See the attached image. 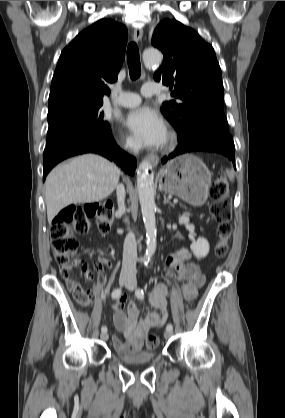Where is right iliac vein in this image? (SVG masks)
<instances>
[{
  "label": "right iliac vein",
  "instance_id": "obj_1",
  "mask_svg": "<svg viewBox=\"0 0 285 418\" xmlns=\"http://www.w3.org/2000/svg\"><path fill=\"white\" fill-rule=\"evenodd\" d=\"M130 279H131V277L128 276V275H122L119 278V283L121 285H123V284L127 283ZM100 337H101L102 340L106 341V340H108L109 335H108L107 332H102L101 335H100Z\"/></svg>",
  "mask_w": 285,
  "mask_h": 418
}]
</instances>
